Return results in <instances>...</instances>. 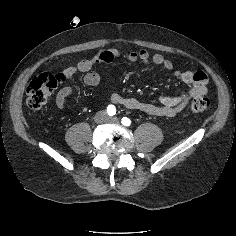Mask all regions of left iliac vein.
Masks as SVG:
<instances>
[{"label": "left iliac vein", "instance_id": "obj_1", "mask_svg": "<svg viewBox=\"0 0 236 236\" xmlns=\"http://www.w3.org/2000/svg\"><path fill=\"white\" fill-rule=\"evenodd\" d=\"M107 121L111 123H118V119L116 117H109L107 118Z\"/></svg>", "mask_w": 236, "mask_h": 236}]
</instances>
